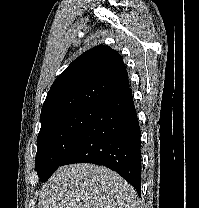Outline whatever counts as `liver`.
Wrapping results in <instances>:
<instances>
[{
    "label": "liver",
    "instance_id": "liver-1",
    "mask_svg": "<svg viewBox=\"0 0 199 208\" xmlns=\"http://www.w3.org/2000/svg\"><path fill=\"white\" fill-rule=\"evenodd\" d=\"M135 189L95 164L59 167L39 191L38 208H139Z\"/></svg>",
    "mask_w": 199,
    "mask_h": 208
}]
</instances>
